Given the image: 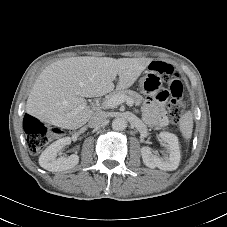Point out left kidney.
<instances>
[{
    "instance_id": "obj_1",
    "label": "left kidney",
    "mask_w": 227,
    "mask_h": 227,
    "mask_svg": "<svg viewBox=\"0 0 227 227\" xmlns=\"http://www.w3.org/2000/svg\"><path fill=\"white\" fill-rule=\"evenodd\" d=\"M159 137L162 141L168 144V155L160 158L152 152L151 148L144 146L141 149L144 164L149 168L157 167L165 171L176 170L181 158L177 136L163 131L160 132Z\"/></svg>"
}]
</instances>
